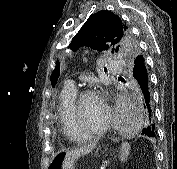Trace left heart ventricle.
Returning <instances> with one entry per match:
<instances>
[{
	"mask_svg": "<svg viewBox=\"0 0 177 169\" xmlns=\"http://www.w3.org/2000/svg\"><path fill=\"white\" fill-rule=\"evenodd\" d=\"M106 118V109L96 96L85 97L79 107V128L82 133L99 128Z\"/></svg>",
	"mask_w": 177,
	"mask_h": 169,
	"instance_id": "b2bd125f",
	"label": "left heart ventricle"
}]
</instances>
